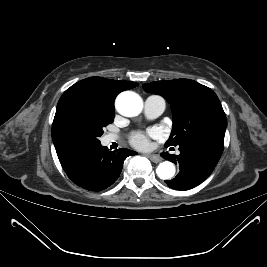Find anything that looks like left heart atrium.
Masks as SVG:
<instances>
[{"instance_id": "left-heart-atrium-1", "label": "left heart atrium", "mask_w": 267, "mask_h": 267, "mask_svg": "<svg viewBox=\"0 0 267 267\" xmlns=\"http://www.w3.org/2000/svg\"><path fill=\"white\" fill-rule=\"evenodd\" d=\"M157 131L155 129H150L146 132H135L130 137V143L139 149H146L149 147L150 137L156 136Z\"/></svg>"}]
</instances>
